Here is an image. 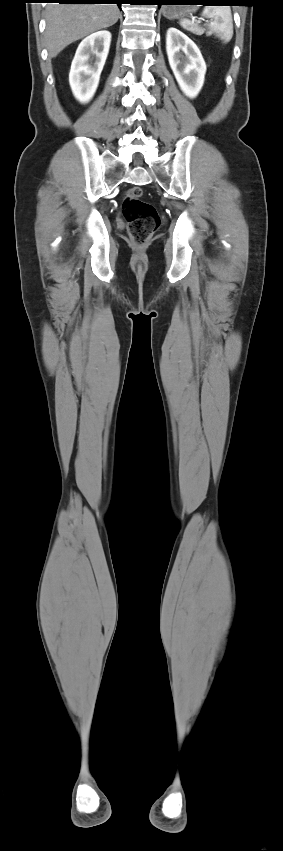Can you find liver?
Here are the masks:
<instances>
[{"instance_id": "obj_1", "label": "liver", "mask_w": 283, "mask_h": 851, "mask_svg": "<svg viewBox=\"0 0 283 851\" xmlns=\"http://www.w3.org/2000/svg\"><path fill=\"white\" fill-rule=\"evenodd\" d=\"M119 14L116 4H49L45 30L49 58L71 43L114 25Z\"/></svg>"}]
</instances>
